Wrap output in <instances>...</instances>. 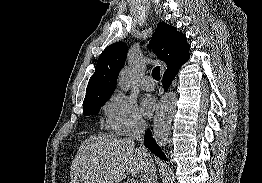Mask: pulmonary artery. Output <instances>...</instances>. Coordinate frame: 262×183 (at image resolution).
Masks as SVG:
<instances>
[{"label":"pulmonary artery","instance_id":"obj_1","mask_svg":"<svg viewBox=\"0 0 262 183\" xmlns=\"http://www.w3.org/2000/svg\"><path fill=\"white\" fill-rule=\"evenodd\" d=\"M141 86L146 91H152L155 88L154 81L150 76H145L141 81Z\"/></svg>","mask_w":262,"mask_h":183}]
</instances>
